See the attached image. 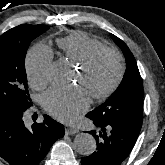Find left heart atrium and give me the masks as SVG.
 <instances>
[{
    "mask_svg": "<svg viewBox=\"0 0 165 165\" xmlns=\"http://www.w3.org/2000/svg\"><path fill=\"white\" fill-rule=\"evenodd\" d=\"M44 108L61 121H73L89 105V96L81 87L53 88L42 98Z\"/></svg>",
    "mask_w": 165,
    "mask_h": 165,
    "instance_id": "obj_1",
    "label": "left heart atrium"
}]
</instances>
